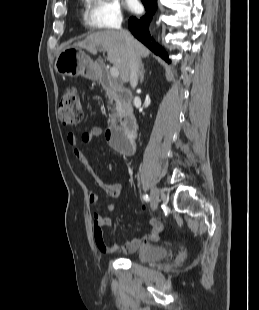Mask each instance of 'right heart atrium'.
Listing matches in <instances>:
<instances>
[{"instance_id": "d8ad5b80", "label": "right heart atrium", "mask_w": 259, "mask_h": 310, "mask_svg": "<svg viewBox=\"0 0 259 310\" xmlns=\"http://www.w3.org/2000/svg\"><path fill=\"white\" fill-rule=\"evenodd\" d=\"M87 20L98 28H117L123 12L117 0H86Z\"/></svg>"}]
</instances>
